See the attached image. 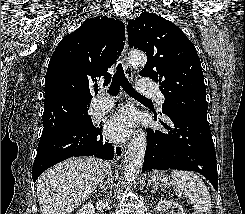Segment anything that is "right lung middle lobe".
Listing matches in <instances>:
<instances>
[{"label": "right lung middle lobe", "mask_w": 245, "mask_h": 214, "mask_svg": "<svg viewBox=\"0 0 245 214\" xmlns=\"http://www.w3.org/2000/svg\"><path fill=\"white\" fill-rule=\"evenodd\" d=\"M89 120H91V117L88 115L87 110L82 111L78 116L73 119L74 124H85Z\"/></svg>", "instance_id": "dd1d6c3e"}]
</instances>
